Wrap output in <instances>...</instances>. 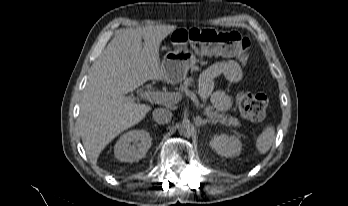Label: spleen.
Masks as SVG:
<instances>
[{
    "label": "spleen",
    "mask_w": 348,
    "mask_h": 206,
    "mask_svg": "<svg viewBox=\"0 0 348 206\" xmlns=\"http://www.w3.org/2000/svg\"><path fill=\"white\" fill-rule=\"evenodd\" d=\"M274 137L275 128L272 125L266 126L256 140V148L260 154H265L270 149Z\"/></svg>",
    "instance_id": "1"
}]
</instances>
